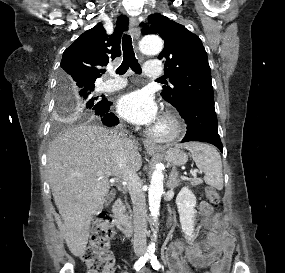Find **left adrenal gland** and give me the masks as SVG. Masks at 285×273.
I'll return each mask as SVG.
<instances>
[{"label": "left adrenal gland", "instance_id": "left-adrenal-gland-1", "mask_svg": "<svg viewBox=\"0 0 285 273\" xmlns=\"http://www.w3.org/2000/svg\"><path fill=\"white\" fill-rule=\"evenodd\" d=\"M180 181L178 179V172L176 167H172V171L169 175V180L167 183L168 188H170L171 190H173L174 188H176L179 185Z\"/></svg>", "mask_w": 285, "mask_h": 273}]
</instances>
